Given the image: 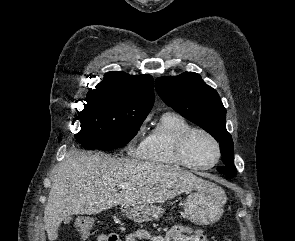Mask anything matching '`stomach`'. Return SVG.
<instances>
[{
  "instance_id": "0dacf381",
  "label": "stomach",
  "mask_w": 295,
  "mask_h": 241,
  "mask_svg": "<svg viewBox=\"0 0 295 241\" xmlns=\"http://www.w3.org/2000/svg\"><path fill=\"white\" fill-rule=\"evenodd\" d=\"M226 200L224 190L208 182L187 197L184 203V217L196 225L213 224L221 218ZM121 210L134 222L152 221L164 213L163 208L152 204H122Z\"/></svg>"
}]
</instances>
